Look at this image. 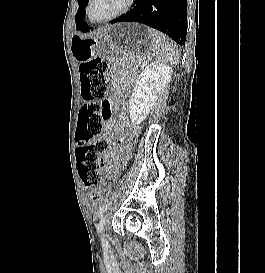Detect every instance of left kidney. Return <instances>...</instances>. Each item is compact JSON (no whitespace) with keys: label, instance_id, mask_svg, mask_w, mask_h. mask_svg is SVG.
Returning a JSON list of instances; mask_svg holds the SVG:
<instances>
[{"label":"left kidney","instance_id":"5707ae66","mask_svg":"<svg viewBox=\"0 0 265 273\" xmlns=\"http://www.w3.org/2000/svg\"><path fill=\"white\" fill-rule=\"evenodd\" d=\"M172 67L164 63H151L140 73L129 102L131 121L139 124L147 117L172 76Z\"/></svg>","mask_w":265,"mask_h":273}]
</instances>
